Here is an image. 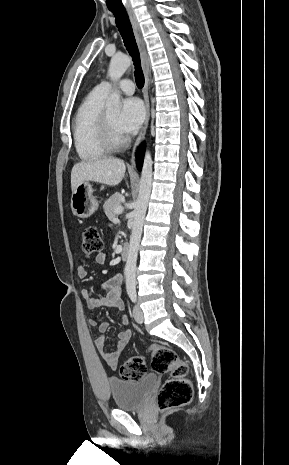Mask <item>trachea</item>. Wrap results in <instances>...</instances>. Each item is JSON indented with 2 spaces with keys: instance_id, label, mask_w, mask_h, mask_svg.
I'll return each instance as SVG.
<instances>
[{
  "instance_id": "trachea-1",
  "label": "trachea",
  "mask_w": 289,
  "mask_h": 465,
  "mask_svg": "<svg viewBox=\"0 0 289 465\" xmlns=\"http://www.w3.org/2000/svg\"><path fill=\"white\" fill-rule=\"evenodd\" d=\"M116 18V25L122 36L125 47L131 55L135 66V81L138 88L144 86V75L141 68L140 55L133 34L132 26L125 9L111 10Z\"/></svg>"
}]
</instances>
